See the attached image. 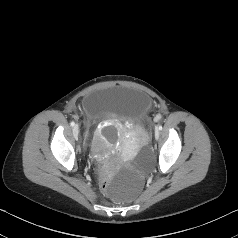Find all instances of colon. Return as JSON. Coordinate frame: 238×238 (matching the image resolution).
Here are the masks:
<instances>
[{"mask_svg":"<svg viewBox=\"0 0 238 238\" xmlns=\"http://www.w3.org/2000/svg\"><path fill=\"white\" fill-rule=\"evenodd\" d=\"M158 120H159V118H158ZM99 188L101 190H106L108 188V181H107V179H105V178L101 179V181L99 183Z\"/></svg>","mask_w":238,"mask_h":238,"instance_id":"1","label":"colon"}]
</instances>
